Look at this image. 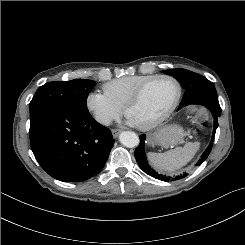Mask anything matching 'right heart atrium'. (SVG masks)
<instances>
[{
    "mask_svg": "<svg viewBox=\"0 0 245 245\" xmlns=\"http://www.w3.org/2000/svg\"><path fill=\"white\" fill-rule=\"evenodd\" d=\"M85 108L93 119L102 126H109L123 112L121 106L99 91H91L86 95Z\"/></svg>",
    "mask_w": 245,
    "mask_h": 245,
    "instance_id": "1",
    "label": "right heart atrium"
}]
</instances>
